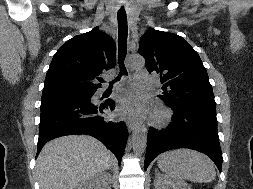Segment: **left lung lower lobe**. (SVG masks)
I'll use <instances>...</instances> for the list:
<instances>
[{
	"instance_id": "0a47b994",
	"label": "left lung lower lobe",
	"mask_w": 253,
	"mask_h": 189,
	"mask_svg": "<svg viewBox=\"0 0 253 189\" xmlns=\"http://www.w3.org/2000/svg\"><path fill=\"white\" fill-rule=\"evenodd\" d=\"M172 123L163 130L148 131L144 169L160 153L191 148L209 156L221 172L222 152L218 141L216 114L188 108H172Z\"/></svg>"
}]
</instances>
